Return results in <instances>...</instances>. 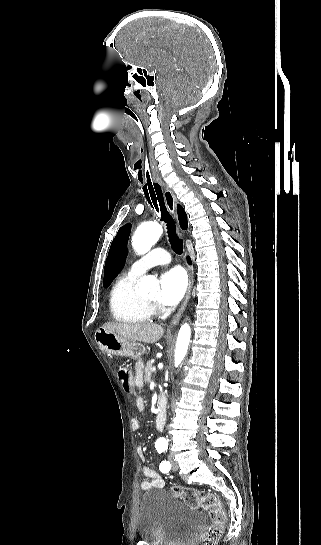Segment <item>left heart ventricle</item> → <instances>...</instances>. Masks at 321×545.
<instances>
[{
	"mask_svg": "<svg viewBox=\"0 0 321 545\" xmlns=\"http://www.w3.org/2000/svg\"><path fill=\"white\" fill-rule=\"evenodd\" d=\"M146 303H149V304H152L154 301L152 300H149V301H145Z\"/></svg>",
	"mask_w": 321,
	"mask_h": 545,
	"instance_id": "1",
	"label": "left heart ventricle"
}]
</instances>
